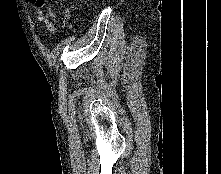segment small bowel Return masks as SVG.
<instances>
[{"label":"small bowel","mask_w":221,"mask_h":174,"mask_svg":"<svg viewBox=\"0 0 221 174\" xmlns=\"http://www.w3.org/2000/svg\"><path fill=\"white\" fill-rule=\"evenodd\" d=\"M44 4H41L39 0H36V17L39 22L42 23L45 30H47L50 33H55L56 28L53 24V22L44 14L42 10V6ZM51 17L53 20H56L55 16L51 14ZM71 18V13L69 10L65 9L63 11V24L66 25Z\"/></svg>","instance_id":"1"}]
</instances>
